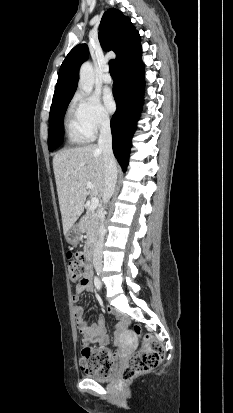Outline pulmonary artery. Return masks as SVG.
<instances>
[{
    "label": "pulmonary artery",
    "instance_id": "obj_1",
    "mask_svg": "<svg viewBox=\"0 0 233 413\" xmlns=\"http://www.w3.org/2000/svg\"><path fill=\"white\" fill-rule=\"evenodd\" d=\"M102 80H103V82L106 83V84L112 83V76L110 75L108 68H105V71H104Z\"/></svg>",
    "mask_w": 233,
    "mask_h": 413
}]
</instances>
